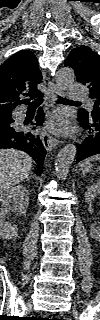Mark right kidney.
<instances>
[{
  "mask_svg": "<svg viewBox=\"0 0 100 320\" xmlns=\"http://www.w3.org/2000/svg\"><path fill=\"white\" fill-rule=\"evenodd\" d=\"M13 199V202H12ZM29 205V193L23 185L12 187L0 195V235L3 239L18 237L17 225L6 221L10 213L25 215Z\"/></svg>",
  "mask_w": 100,
  "mask_h": 320,
  "instance_id": "obj_1",
  "label": "right kidney"
}]
</instances>
